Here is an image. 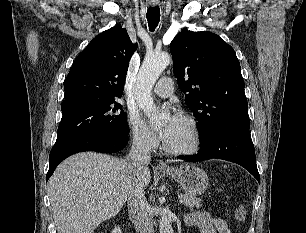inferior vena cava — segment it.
I'll return each instance as SVG.
<instances>
[{
  "label": "inferior vena cava",
  "mask_w": 306,
  "mask_h": 233,
  "mask_svg": "<svg viewBox=\"0 0 306 233\" xmlns=\"http://www.w3.org/2000/svg\"><path fill=\"white\" fill-rule=\"evenodd\" d=\"M150 140L147 136H136L133 139L130 154L127 161L130 163L134 172L135 181L133 189L128 197V212L134 223L137 233H154L152 217L149 205L145 198L144 186L140 181L139 175L150 163Z\"/></svg>",
  "instance_id": "1"
}]
</instances>
